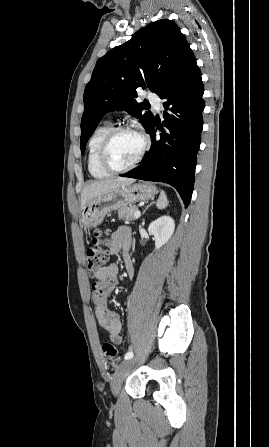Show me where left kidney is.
<instances>
[{
	"mask_svg": "<svg viewBox=\"0 0 269 447\" xmlns=\"http://www.w3.org/2000/svg\"><path fill=\"white\" fill-rule=\"evenodd\" d=\"M175 229L174 220L170 216H161L154 220L148 227L149 233L154 235L155 249H160L164 243H167Z\"/></svg>",
	"mask_w": 269,
	"mask_h": 447,
	"instance_id": "1",
	"label": "left kidney"
}]
</instances>
